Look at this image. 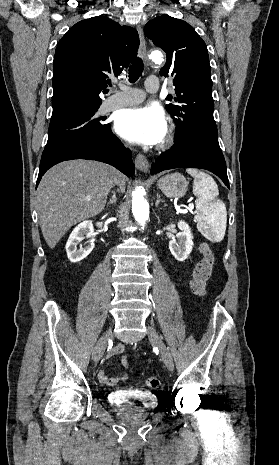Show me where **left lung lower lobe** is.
Returning a JSON list of instances; mask_svg holds the SVG:
<instances>
[{"instance_id": "obj_1", "label": "left lung lower lobe", "mask_w": 279, "mask_h": 465, "mask_svg": "<svg viewBox=\"0 0 279 465\" xmlns=\"http://www.w3.org/2000/svg\"><path fill=\"white\" fill-rule=\"evenodd\" d=\"M182 167L209 170L230 188L222 151L193 139L175 142L171 149L157 158L156 163L151 167V173L156 174L163 170Z\"/></svg>"}]
</instances>
